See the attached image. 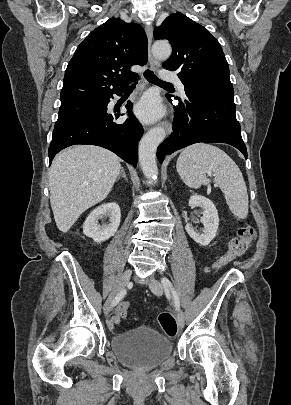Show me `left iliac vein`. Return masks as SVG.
I'll list each match as a JSON object with an SVG mask.
<instances>
[{
  "label": "left iliac vein",
  "instance_id": "left-iliac-vein-1",
  "mask_svg": "<svg viewBox=\"0 0 291 405\" xmlns=\"http://www.w3.org/2000/svg\"><path fill=\"white\" fill-rule=\"evenodd\" d=\"M150 290L157 296H161L164 292V287L163 285L157 281L154 278H150L148 282ZM177 323L179 328L184 327L185 319H184V313L182 310L178 309L177 311Z\"/></svg>",
  "mask_w": 291,
  "mask_h": 405
}]
</instances>
